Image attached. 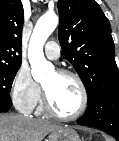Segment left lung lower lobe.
I'll return each mask as SVG.
<instances>
[{
	"label": "left lung lower lobe",
	"instance_id": "0a47b994",
	"mask_svg": "<svg viewBox=\"0 0 119 141\" xmlns=\"http://www.w3.org/2000/svg\"><path fill=\"white\" fill-rule=\"evenodd\" d=\"M77 123L96 127L119 141V89L103 92L88 101L87 109Z\"/></svg>",
	"mask_w": 119,
	"mask_h": 141
}]
</instances>
